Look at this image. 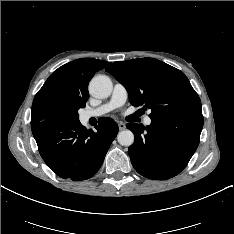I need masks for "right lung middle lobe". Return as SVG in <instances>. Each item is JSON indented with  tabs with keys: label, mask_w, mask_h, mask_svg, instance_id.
<instances>
[{
	"label": "right lung middle lobe",
	"mask_w": 234,
	"mask_h": 234,
	"mask_svg": "<svg viewBox=\"0 0 234 234\" xmlns=\"http://www.w3.org/2000/svg\"><path fill=\"white\" fill-rule=\"evenodd\" d=\"M86 100L61 101L56 103L51 110V119L79 121L78 110L85 107Z\"/></svg>",
	"instance_id": "1"
}]
</instances>
